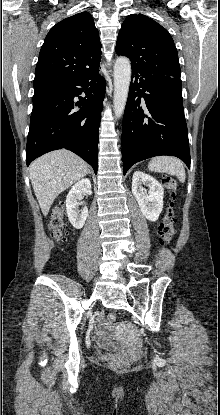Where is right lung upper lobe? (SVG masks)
Segmentation results:
<instances>
[{"label":"right lung upper lobe","mask_w":220,"mask_h":415,"mask_svg":"<svg viewBox=\"0 0 220 415\" xmlns=\"http://www.w3.org/2000/svg\"><path fill=\"white\" fill-rule=\"evenodd\" d=\"M100 59L101 42L91 14H75L57 23L47 34L33 84H64L97 71Z\"/></svg>","instance_id":"right-lung-upper-lobe-1"}]
</instances>
